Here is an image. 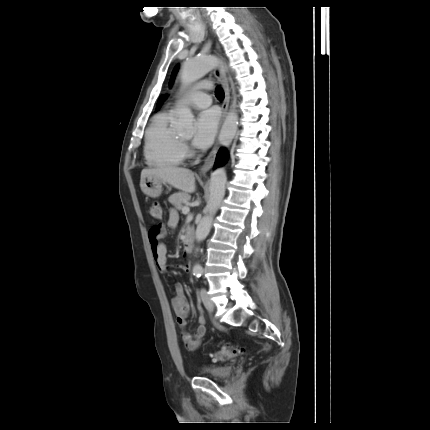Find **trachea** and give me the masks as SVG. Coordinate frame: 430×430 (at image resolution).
<instances>
[{
  "mask_svg": "<svg viewBox=\"0 0 430 430\" xmlns=\"http://www.w3.org/2000/svg\"><path fill=\"white\" fill-rule=\"evenodd\" d=\"M215 95H216V97H217L219 100L224 99V92H223V90H222L220 87H218V88L216 89V91H215Z\"/></svg>",
  "mask_w": 430,
  "mask_h": 430,
  "instance_id": "obj_1",
  "label": "trachea"
}]
</instances>
